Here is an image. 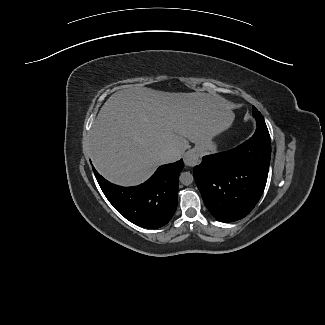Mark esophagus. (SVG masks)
<instances>
[{"instance_id": "esophagus-1", "label": "esophagus", "mask_w": 325, "mask_h": 325, "mask_svg": "<svg viewBox=\"0 0 325 325\" xmlns=\"http://www.w3.org/2000/svg\"><path fill=\"white\" fill-rule=\"evenodd\" d=\"M199 162V153L196 149H190L184 155V163L189 167H194Z\"/></svg>"}]
</instances>
